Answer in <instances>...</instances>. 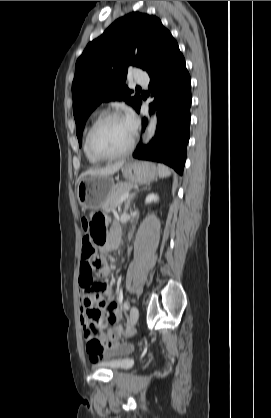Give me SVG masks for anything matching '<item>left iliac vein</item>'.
<instances>
[{
    "mask_svg": "<svg viewBox=\"0 0 271 418\" xmlns=\"http://www.w3.org/2000/svg\"><path fill=\"white\" fill-rule=\"evenodd\" d=\"M138 317L139 311L136 306H133L130 311L129 327H133L137 323Z\"/></svg>",
    "mask_w": 271,
    "mask_h": 418,
    "instance_id": "obj_1",
    "label": "left iliac vein"
}]
</instances>
